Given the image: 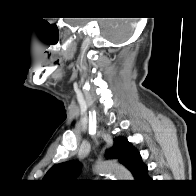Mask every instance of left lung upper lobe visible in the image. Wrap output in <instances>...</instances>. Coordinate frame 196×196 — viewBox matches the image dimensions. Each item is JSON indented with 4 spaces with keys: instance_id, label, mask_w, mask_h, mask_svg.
<instances>
[{
    "instance_id": "5c2ea615",
    "label": "left lung upper lobe",
    "mask_w": 196,
    "mask_h": 196,
    "mask_svg": "<svg viewBox=\"0 0 196 196\" xmlns=\"http://www.w3.org/2000/svg\"><path fill=\"white\" fill-rule=\"evenodd\" d=\"M105 156L111 159H117L127 167L134 175L138 160L141 156L138 150L128 142L126 138H115L113 146L106 151ZM142 161V160H141ZM80 171V164L76 161H68L54 165L43 178L46 182L58 183L68 181L77 175Z\"/></svg>"
}]
</instances>
